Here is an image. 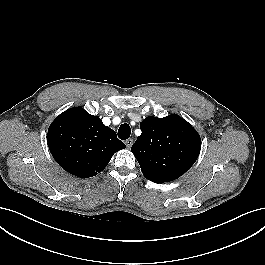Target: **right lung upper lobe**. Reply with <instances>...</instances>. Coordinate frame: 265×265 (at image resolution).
Listing matches in <instances>:
<instances>
[{"instance_id":"right-lung-upper-lobe-1","label":"right lung upper lobe","mask_w":265,"mask_h":265,"mask_svg":"<svg viewBox=\"0 0 265 265\" xmlns=\"http://www.w3.org/2000/svg\"><path fill=\"white\" fill-rule=\"evenodd\" d=\"M47 142L56 162L82 178L100 173L114 153L126 147L114 130L82 107L60 114L48 129Z\"/></svg>"}]
</instances>
